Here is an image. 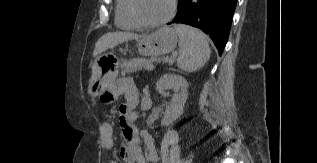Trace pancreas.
Wrapping results in <instances>:
<instances>
[{
    "label": "pancreas",
    "instance_id": "pancreas-1",
    "mask_svg": "<svg viewBox=\"0 0 317 163\" xmlns=\"http://www.w3.org/2000/svg\"><path fill=\"white\" fill-rule=\"evenodd\" d=\"M159 61L156 57H152L150 59L146 58H134L130 60H123L120 68L121 75L124 76L131 72H136L139 69L145 68L147 70H152L154 68L153 63Z\"/></svg>",
    "mask_w": 317,
    "mask_h": 163
}]
</instances>
